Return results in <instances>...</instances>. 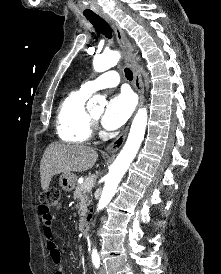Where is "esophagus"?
I'll return each instance as SVG.
<instances>
[{"label": "esophagus", "mask_w": 221, "mask_h": 274, "mask_svg": "<svg viewBox=\"0 0 221 274\" xmlns=\"http://www.w3.org/2000/svg\"><path fill=\"white\" fill-rule=\"evenodd\" d=\"M101 16L112 27V29L115 33L117 42L125 55L126 63L133 70L134 86H135V89L139 95L138 108H140L144 103V86L142 83L141 75H140V73L136 67V63L132 57V49H131L130 45L128 44V42L126 40V36H125L123 30L118 25V23L106 14H102ZM128 129H129V124L110 144H108V146L106 147L107 152L115 153L122 147V145L127 137Z\"/></svg>", "instance_id": "esophagus-1"}]
</instances>
